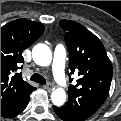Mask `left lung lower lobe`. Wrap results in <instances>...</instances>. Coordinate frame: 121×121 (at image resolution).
<instances>
[{
	"instance_id": "1",
	"label": "left lung lower lobe",
	"mask_w": 121,
	"mask_h": 121,
	"mask_svg": "<svg viewBox=\"0 0 121 121\" xmlns=\"http://www.w3.org/2000/svg\"><path fill=\"white\" fill-rule=\"evenodd\" d=\"M55 113L64 121H73L71 120L68 115L61 109L56 106L53 107Z\"/></svg>"
}]
</instances>
